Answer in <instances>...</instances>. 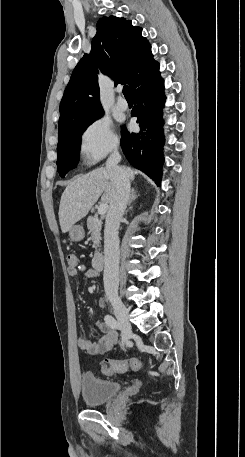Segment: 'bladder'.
I'll use <instances>...</instances> for the list:
<instances>
[{
    "label": "bladder",
    "mask_w": 245,
    "mask_h": 457,
    "mask_svg": "<svg viewBox=\"0 0 245 457\" xmlns=\"http://www.w3.org/2000/svg\"><path fill=\"white\" fill-rule=\"evenodd\" d=\"M81 391L87 406H97L108 402L120 391L119 382L99 380L95 375L86 373L81 379Z\"/></svg>",
    "instance_id": "obj_1"
}]
</instances>
